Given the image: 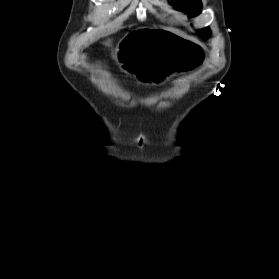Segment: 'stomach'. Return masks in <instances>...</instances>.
I'll return each mask as SVG.
<instances>
[{"mask_svg": "<svg viewBox=\"0 0 279 279\" xmlns=\"http://www.w3.org/2000/svg\"><path fill=\"white\" fill-rule=\"evenodd\" d=\"M119 50L116 59L120 67L129 75H136V79H145V85L162 82L163 78H189V73L180 72L192 69L204 59L203 45L182 38L174 30H155V25H140V30H130Z\"/></svg>", "mask_w": 279, "mask_h": 279, "instance_id": "obj_1", "label": "stomach"}]
</instances>
